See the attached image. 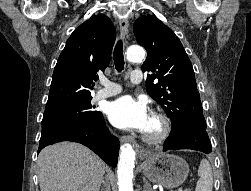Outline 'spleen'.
<instances>
[{
    "label": "spleen",
    "instance_id": "1",
    "mask_svg": "<svg viewBox=\"0 0 251 191\" xmlns=\"http://www.w3.org/2000/svg\"><path fill=\"white\" fill-rule=\"evenodd\" d=\"M199 179L195 187V191H212L213 187V171L208 159H201L198 167Z\"/></svg>",
    "mask_w": 251,
    "mask_h": 191
}]
</instances>
